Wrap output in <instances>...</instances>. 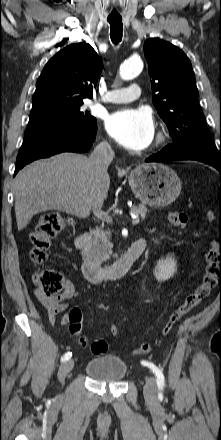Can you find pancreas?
<instances>
[{
	"instance_id": "obj_1",
	"label": "pancreas",
	"mask_w": 221,
	"mask_h": 440,
	"mask_svg": "<svg viewBox=\"0 0 221 440\" xmlns=\"http://www.w3.org/2000/svg\"><path fill=\"white\" fill-rule=\"evenodd\" d=\"M132 211L135 214L140 215L142 219L146 217L148 209L146 205L140 204L133 206ZM110 236L108 230H103L100 227H96L89 233L90 242L83 251L84 258L88 260H103L110 253V245L108 244L107 237Z\"/></svg>"
}]
</instances>
